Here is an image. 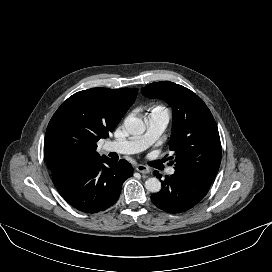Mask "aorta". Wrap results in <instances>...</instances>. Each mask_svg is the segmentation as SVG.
<instances>
[{"label": "aorta", "instance_id": "762f6f07", "mask_svg": "<svg viewBox=\"0 0 272 272\" xmlns=\"http://www.w3.org/2000/svg\"><path fill=\"white\" fill-rule=\"evenodd\" d=\"M124 127L131 135H141L145 132V124L142 119L135 116H128L124 121ZM145 188L152 193L161 189V182L156 177H151L145 181Z\"/></svg>", "mask_w": 272, "mask_h": 272}]
</instances>
